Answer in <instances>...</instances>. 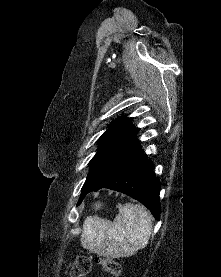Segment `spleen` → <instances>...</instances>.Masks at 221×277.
Segmentation results:
<instances>
[{
	"instance_id": "1",
	"label": "spleen",
	"mask_w": 221,
	"mask_h": 277,
	"mask_svg": "<svg viewBox=\"0 0 221 277\" xmlns=\"http://www.w3.org/2000/svg\"><path fill=\"white\" fill-rule=\"evenodd\" d=\"M114 222L97 216L84 221L82 247L110 258L132 256L145 248L152 233V216L139 204L118 205Z\"/></svg>"
}]
</instances>
